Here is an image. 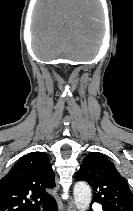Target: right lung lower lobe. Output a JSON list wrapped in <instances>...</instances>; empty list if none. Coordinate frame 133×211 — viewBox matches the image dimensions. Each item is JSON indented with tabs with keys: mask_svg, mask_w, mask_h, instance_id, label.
<instances>
[{
	"mask_svg": "<svg viewBox=\"0 0 133 211\" xmlns=\"http://www.w3.org/2000/svg\"><path fill=\"white\" fill-rule=\"evenodd\" d=\"M44 207L45 209H48L50 211H57V205L54 199L49 204L45 205Z\"/></svg>",
	"mask_w": 133,
	"mask_h": 211,
	"instance_id": "right-lung-lower-lobe-1",
	"label": "right lung lower lobe"
}]
</instances>
